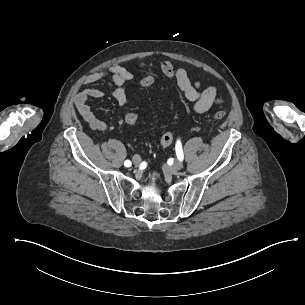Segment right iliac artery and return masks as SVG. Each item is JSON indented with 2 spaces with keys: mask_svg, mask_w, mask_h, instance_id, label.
<instances>
[{
  "mask_svg": "<svg viewBox=\"0 0 305 305\" xmlns=\"http://www.w3.org/2000/svg\"><path fill=\"white\" fill-rule=\"evenodd\" d=\"M124 165H125L126 167H130V166H131V161H130V160H126V161L124 162Z\"/></svg>",
  "mask_w": 305,
  "mask_h": 305,
  "instance_id": "right-iliac-artery-1",
  "label": "right iliac artery"
}]
</instances>
